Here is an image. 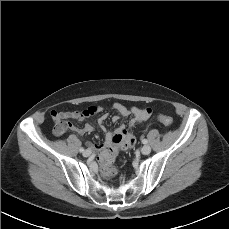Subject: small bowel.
I'll list each match as a JSON object with an SVG mask.
<instances>
[{"mask_svg":"<svg viewBox=\"0 0 229 229\" xmlns=\"http://www.w3.org/2000/svg\"><path fill=\"white\" fill-rule=\"evenodd\" d=\"M113 107L118 113V115H115L112 118V120L114 122L119 120V116L126 117L129 115H132L133 118L131 120L130 125L133 126L135 124H141V123L146 122L150 117V114H148L145 111V108H138V107L127 108L126 106L119 104V103L114 104ZM90 108L91 107H89L83 111L69 112V113H66V116L74 118V119H78V120H83L85 117H87V116H85V113L88 110H90ZM100 110H101V108H97V112ZM106 118H107V115L103 114L98 119L99 125H102L104 123V121L106 120ZM101 129L105 133V138H106L105 145H104L105 147H109V146L113 145L112 139L117 134L123 135V140L120 144L121 146L132 147V146H134V144L136 142L135 137L131 133H129L127 131L126 127L123 125L120 126L115 132H107L104 127H101ZM72 130L78 132L81 135H85V134L93 132L94 126H92L91 124H86L84 127H81V128L72 127Z\"/></svg>","mask_w":229,"mask_h":229,"instance_id":"obj_1","label":"small bowel"}]
</instances>
